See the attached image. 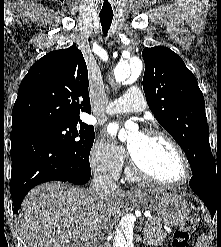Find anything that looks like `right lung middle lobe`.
<instances>
[{
  "mask_svg": "<svg viewBox=\"0 0 221 247\" xmlns=\"http://www.w3.org/2000/svg\"><path fill=\"white\" fill-rule=\"evenodd\" d=\"M51 140L77 157L88 159L94 142V128L82 121L50 122L18 129Z\"/></svg>",
  "mask_w": 221,
  "mask_h": 247,
  "instance_id": "1",
  "label": "right lung middle lobe"
}]
</instances>
